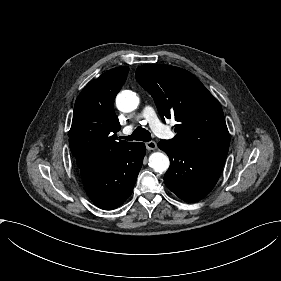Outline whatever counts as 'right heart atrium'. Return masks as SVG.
Here are the masks:
<instances>
[{
    "label": "right heart atrium",
    "mask_w": 281,
    "mask_h": 281,
    "mask_svg": "<svg viewBox=\"0 0 281 281\" xmlns=\"http://www.w3.org/2000/svg\"><path fill=\"white\" fill-rule=\"evenodd\" d=\"M118 100L120 102H122L123 104L128 105V95L124 91H121L116 96V104H117Z\"/></svg>",
    "instance_id": "obj_1"
}]
</instances>
